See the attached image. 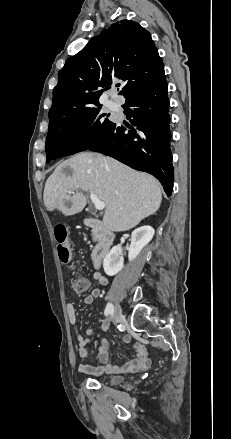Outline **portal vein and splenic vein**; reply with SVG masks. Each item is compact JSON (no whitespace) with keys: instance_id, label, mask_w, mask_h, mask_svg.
<instances>
[{"instance_id":"1","label":"portal vein and splenic vein","mask_w":231,"mask_h":439,"mask_svg":"<svg viewBox=\"0 0 231 439\" xmlns=\"http://www.w3.org/2000/svg\"><path fill=\"white\" fill-rule=\"evenodd\" d=\"M68 192L71 193V190ZM90 199L97 210L101 211L105 208V203L101 201L94 193H90Z\"/></svg>"}]
</instances>
